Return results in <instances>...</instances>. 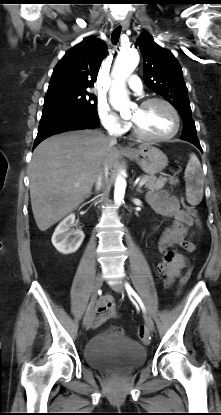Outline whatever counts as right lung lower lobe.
<instances>
[{
    "label": "right lung lower lobe",
    "instance_id": "obj_1",
    "mask_svg": "<svg viewBox=\"0 0 221 415\" xmlns=\"http://www.w3.org/2000/svg\"><path fill=\"white\" fill-rule=\"evenodd\" d=\"M98 115L65 106H44L33 149L46 138L66 131L97 128Z\"/></svg>",
    "mask_w": 221,
    "mask_h": 415
}]
</instances>
